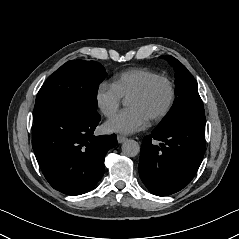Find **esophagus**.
I'll return each instance as SVG.
<instances>
[{
  "label": "esophagus",
  "instance_id": "obj_1",
  "mask_svg": "<svg viewBox=\"0 0 239 239\" xmlns=\"http://www.w3.org/2000/svg\"><path fill=\"white\" fill-rule=\"evenodd\" d=\"M126 139H127L126 136H123V135H118L117 136L118 143H123Z\"/></svg>",
  "mask_w": 239,
  "mask_h": 239
}]
</instances>
